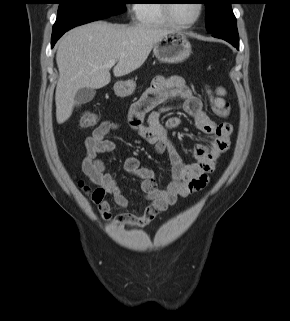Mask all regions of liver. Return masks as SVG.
<instances>
[{"mask_svg":"<svg viewBox=\"0 0 290 321\" xmlns=\"http://www.w3.org/2000/svg\"><path fill=\"white\" fill-rule=\"evenodd\" d=\"M171 31L150 25L112 24L95 21L73 28L59 41L56 62L59 80L55 92L58 124L70 118L74 98L81 88L99 89L115 77L128 75L143 65L154 45Z\"/></svg>","mask_w":290,"mask_h":321,"instance_id":"liver-1","label":"liver"}]
</instances>
